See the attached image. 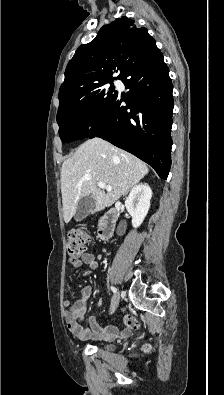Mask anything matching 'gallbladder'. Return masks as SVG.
Returning a JSON list of instances; mask_svg holds the SVG:
<instances>
[{
  "label": "gallbladder",
  "mask_w": 224,
  "mask_h": 395,
  "mask_svg": "<svg viewBox=\"0 0 224 395\" xmlns=\"http://www.w3.org/2000/svg\"><path fill=\"white\" fill-rule=\"evenodd\" d=\"M94 207H95V199L92 196L89 195L83 197L78 203L76 213L74 216L75 220L79 222L85 219Z\"/></svg>",
  "instance_id": "bac80fb5"
}]
</instances>
